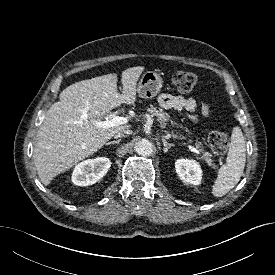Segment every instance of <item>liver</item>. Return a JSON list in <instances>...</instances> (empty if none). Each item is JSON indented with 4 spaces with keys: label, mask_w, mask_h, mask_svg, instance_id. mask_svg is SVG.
<instances>
[{
    "label": "liver",
    "mask_w": 275,
    "mask_h": 275,
    "mask_svg": "<svg viewBox=\"0 0 275 275\" xmlns=\"http://www.w3.org/2000/svg\"><path fill=\"white\" fill-rule=\"evenodd\" d=\"M144 67L122 72V93L117 90V74H106L76 82L59 95V101L46 112L37 132L33 159L44 185L79 161L94 154L129 124L103 128L102 121L113 108L136 101L137 81Z\"/></svg>",
    "instance_id": "obj_1"
}]
</instances>
